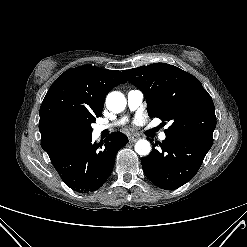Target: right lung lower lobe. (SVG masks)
<instances>
[{"instance_id": "obj_1", "label": "right lung lower lobe", "mask_w": 247, "mask_h": 247, "mask_svg": "<svg viewBox=\"0 0 247 247\" xmlns=\"http://www.w3.org/2000/svg\"><path fill=\"white\" fill-rule=\"evenodd\" d=\"M127 142V136L121 132L112 133L104 144L93 143L92 135L83 136L61 147L50 160L71 189L81 193L92 192L106 182L118 150Z\"/></svg>"}]
</instances>
